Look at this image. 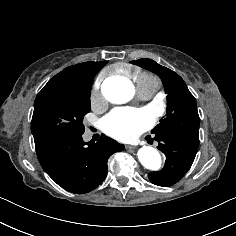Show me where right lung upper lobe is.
Listing matches in <instances>:
<instances>
[{
  "label": "right lung upper lobe",
  "mask_w": 236,
  "mask_h": 236,
  "mask_svg": "<svg viewBox=\"0 0 236 236\" xmlns=\"http://www.w3.org/2000/svg\"><path fill=\"white\" fill-rule=\"evenodd\" d=\"M106 63L107 61L84 62L67 67L51 78L44 87L80 88L92 86L96 73L100 71Z\"/></svg>",
  "instance_id": "1"
}]
</instances>
